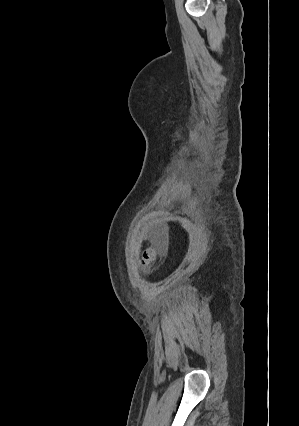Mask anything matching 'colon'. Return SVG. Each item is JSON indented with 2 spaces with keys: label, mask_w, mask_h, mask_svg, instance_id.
Wrapping results in <instances>:
<instances>
[{
  "label": "colon",
  "mask_w": 299,
  "mask_h": 426,
  "mask_svg": "<svg viewBox=\"0 0 299 426\" xmlns=\"http://www.w3.org/2000/svg\"><path fill=\"white\" fill-rule=\"evenodd\" d=\"M154 259H155V253H154L153 251H147V252L144 254V258H143L144 264L148 265V264H150V263H151Z\"/></svg>",
  "instance_id": "obj_1"
}]
</instances>
